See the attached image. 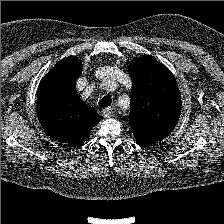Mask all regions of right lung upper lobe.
I'll return each instance as SVG.
<instances>
[{
  "label": "right lung upper lobe",
  "mask_w": 224,
  "mask_h": 224,
  "mask_svg": "<svg viewBox=\"0 0 224 224\" xmlns=\"http://www.w3.org/2000/svg\"><path fill=\"white\" fill-rule=\"evenodd\" d=\"M82 63L63 58L42 79L37 96V116L43 129L55 140L82 145L100 118L78 96L76 80Z\"/></svg>",
  "instance_id": "cb5924a9"
}]
</instances>
